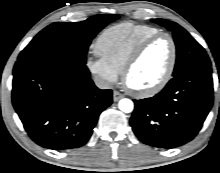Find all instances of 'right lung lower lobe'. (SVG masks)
<instances>
[{
  "label": "right lung lower lobe",
  "mask_w": 220,
  "mask_h": 173,
  "mask_svg": "<svg viewBox=\"0 0 220 173\" xmlns=\"http://www.w3.org/2000/svg\"><path fill=\"white\" fill-rule=\"evenodd\" d=\"M77 58L54 52L18 59L13 70V106L38 145L66 150L83 146L112 91L98 89Z\"/></svg>",
  "instance_id": "obj_1"
}]
</instances>
